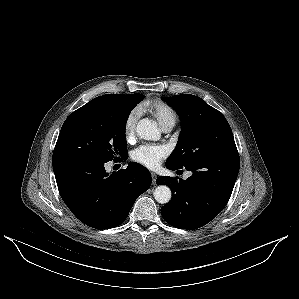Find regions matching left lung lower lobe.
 Returning a JSON list of instances; mask_svg holds the SVG:
<instances>
[{
    "label": "left lung lower lobe",
    "mask_w": 299,
    "mask_h": 299,
    "mask_svg": "<svg viewBox=\"0 0 299 299\" xmlns=\"http://www.w3.org/2000/svg\"><path fill=\"white\" fill-rule=\"evenodd\" d=\"M239 166L238 151L230 150L185 167L193 172L187 180L158 177L157 184L168 185L172 190L171 201L161 208L163 219L174 227L190 230L209 223L228 203Z\"/></svg>",
    "instance_id": "0a47b994"
}]
</instances>
